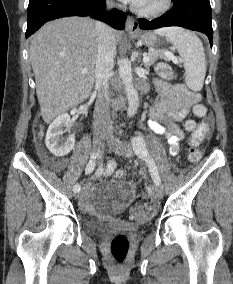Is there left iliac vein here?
Masks as SVG:
<instances>
[{"instance_id": "1", "label": "left iliac vein", "mask_w": 233, "mask_h": 284, "mask_svg": "<svg viewBox=\"0 0 233 284\" xmlns=\"http://www.w3.org/2000/svg\"><path fill=\"white\" fill-rule=\"evenodd\" d=\"M109 147L119 155L125 157H132L133 148L130 143L126 141H119L116 139H112L108 142ZM153 194L156 198L162 199L164 196L163 189L160 185H155L153 187Z\"/></svg>"}]
</instances>
